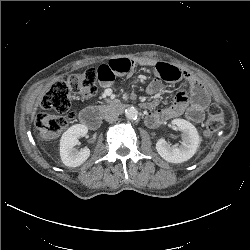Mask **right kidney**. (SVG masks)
Masks as SVG:
<instances>
[{
	"label": "right kidney",
	"mask_w": 250,
	"mask_h": 250,
	"mask_svg": "<svg viewBox=\"0 0 250 250\" xmlns=\"http://www.w3.org/2000/svg\"><path fill=\"white\" fill-rule=\"evenodd\" d=\"M88 132V127L83 124H76L66 130L60 140V156L64 165L77 167L83 164L90 156V150L85 147L80 151H75L74 146L78 143V138L84 137Z\"/></svg>",
	"instance_id": "right-kidney-1"
}]
</instances>
